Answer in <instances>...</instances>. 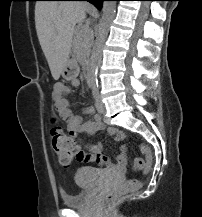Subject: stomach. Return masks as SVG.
Wrapping results in <instances>:
<instances>
[{
	"instance_id": "obj_1",
	"label": "stomach",
	"mask_w": 202,
	"mask_h": 217,
	"mask_svg": "<svg viewBox=\"0 0 202 217\" xmlns=\"http://www.w3.org/2000/svg\"><path fill=\"white\" fill-rule=\"evenodd\" d=\"M79 74V66L77 62L73 59H68L66 65L64 66L61 75L64 79H74Z\"/></svg>"
}]
</instances>
